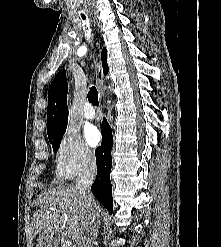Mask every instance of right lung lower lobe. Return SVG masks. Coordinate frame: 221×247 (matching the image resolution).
Segmentation results:
<instances>
[{"label": "right lung lower lobe", "mask_w": 221, "mask_h": 247, "mask_svg": "<svg viewBox=\"0 0 221 247\" xmlns=\"http://www.w3.org/2000/svg\"><path fill=\"white\" fill-rule=\"evenodd\" d=\"M102 133L103 140L101 146L95 151L97 176L91 187V191L96 199L112 214L113 199L110 172L112 167L111 149L113 146V136L111 127L105 118L102 123Z\"/></svg>", "instance_id": "right-lung-lower-lobe-1"}]
</instances>
